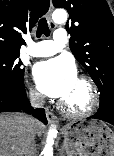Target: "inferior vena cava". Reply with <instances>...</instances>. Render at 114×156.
I'll use <instances>...</instances> for the list:
<instances>
[{"instance_id":"602c4592","label":"inferior vena cava","mask_w":114,"mask_h":156,"mask_svg":"<svg viewBox=\"0 0 114 156\" xmlns=\"http://www.w3.org/2000/svg\"><path fill=\"white\" fill-rule=\"evenodd\" d=\"M29 101L31 105L35 108H41L44 104V96L37 92L30 93ZM24 156H35V145H29L26 150Z\"/></svg>"}]
</instances>
